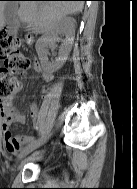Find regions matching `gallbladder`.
<instances>
[{
	"instance_id": "gallbladder-1",
	"label": "gallbladder",
	"mask_w": 137,
	"mask_h": 189,
	"mask_svg": "<svg viewBox=\"0 0 137 189\" xmlns=\"http://www.w3.org/2000/svg\"><path fill=\"white\" fill-rule=\"evenodd\" d=\"M18 9V2H7L4 14L7 23L8 34L15 35L19 28V21L16 17V12Z\"/></svg>"
}]
</instances>
